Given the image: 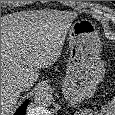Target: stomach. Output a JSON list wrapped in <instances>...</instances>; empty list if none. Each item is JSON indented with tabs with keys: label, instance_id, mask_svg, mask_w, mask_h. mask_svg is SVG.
Instances as JSON below:
<instances>
[{
	"label": "stomach",
	"instance_id": "obj_1",
	"mask_svg": "<svg viewBox=\"0 0 115 115\" xmlns=\"http://www.w3.org/2000/svg\"><path fill=\"white\" fill-rule=\"evenodd\" d=\"M68 42L70 57L62 92L71 104H77L94 95L106 69L99 58L101 42L92 22L81 20L71 24Z\"/></svg>",
	"mask_w": 115,
	"mask_h": 115
}]
</instances>
